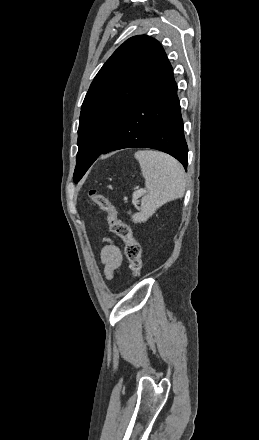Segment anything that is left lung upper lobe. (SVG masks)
Segmentation results:
<instances>
[{
  "label": "left lung upper lobe",
  "mask_w": 259,
  "mask_h": 440,
  "mask_svg": "<svg viewBox=\"0 0 259 440\" xmlns=\"http://www.w3.org/2000/svg\"><path fill=\"white\" fill-rule=\"evenodd\" d=\"M163 53V47L154 38L131 37L116 49L95 76L81 107L75 183L110 142L147 86Z\"/></svg>",
  "instance_id": "obj_1"
}]
</instances>
